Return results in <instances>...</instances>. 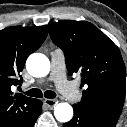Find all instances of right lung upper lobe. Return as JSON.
<instances>
[{
  "instance_id": "cb5924a9",
  "label": "right lung upper lobe",
  "mask_w": 127,
  "mask_h": 127,
  "mask_svg": "<svg viewBox=\"0 0 127 127\" xmlns=\"http://www.w3.org/2000/svg\"><path fill=\"white\" fill-rule=\"evenodd\" d=\"M47 34L46 25L0 30V127H27L35 117L37 99L13 94L11 86L22 84L19 73ZM18 75L21 80L17 79Z\"/></svg>"
}]
</instances>
